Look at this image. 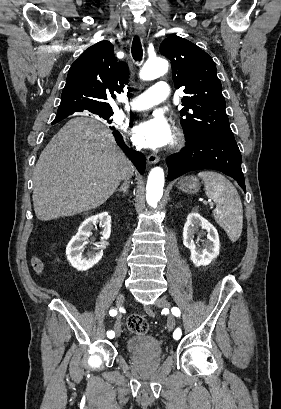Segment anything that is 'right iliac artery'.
Segmentation results:
<instances>
[{"mask_svg": "<svg viewBox=\"0 0 281 409\" xmlns=\"http://www.w3.org/2000/svg\"><path fill=\"white\" fill-rule=\"evenodd\" d=\"M109 314H110L111 316H115V315L117 314V310L112 309V310H110ZM114 335H115V333H114L112 330L107 332V336H108L109 338H113Z\"/></svg>", "mask_w": 281, "mask_h": 409, "instance_id": "82829eb1", "label": "right iliac artery"}]
</instances>
